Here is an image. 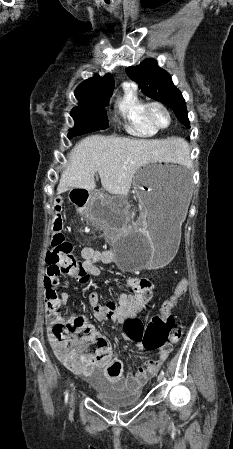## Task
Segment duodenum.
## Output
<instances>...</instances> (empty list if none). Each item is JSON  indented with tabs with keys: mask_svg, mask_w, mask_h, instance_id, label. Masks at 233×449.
<instances>
[{
	"mask_svg": "<svg viewBox=\"0 0 233 449\" xmlns=\"http://www.w3.org/2000/svg\"><path fill=\"white\" fill-rule=\"evenodd\" d=\"M71 198L72 206H88L91 198L88 186H73Z\"/></svg>",
	"mask_w": 233,
	"mask_h": 449,
	"instance_id": "1",
	"label": "duodenum"
}]
</instances>
